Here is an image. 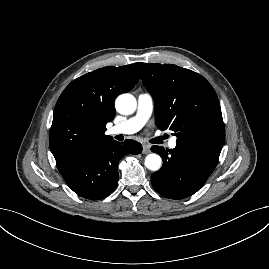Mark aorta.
Listing matches in <instances>:
<instances>
[{"label": "aorta", "mask_w": 269, "mask_h": 269, "mask_svg": "<svg viewBox=\"0 0 269 269\" xmlns=\"http://www.w3.org/2000/svg\"><path fill=\"white\" fill-rule=\"evenodd\" d=\"M116 110L123 115H130L134 113L137 107L136 99L131 94H121L115 101ZM146 168L151 171H158L162 166V158L156 154H148L144 162Z\"/></svg>", "instance_id": "obj_1"}]
</instances>
